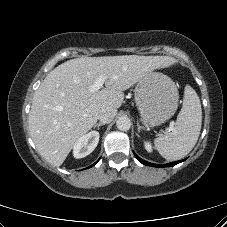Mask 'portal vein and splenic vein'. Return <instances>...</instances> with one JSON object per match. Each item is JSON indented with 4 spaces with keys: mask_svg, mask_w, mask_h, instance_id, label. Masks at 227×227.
I'll list each match as a JSON object with an SVG mask.
<instances>
[{
    "mask_svg": "<svg viewBox=\"0 0 227 227\" xmlns=\"http://www.w3.org/2000/svg\"><path fill=\"white\" fill-rule=\"evenodd\" d=\"M105 78L104 77H99L95 83L90 87L91 92L98 91L104 84ZM170 129H173V126L170 127Z\"/></svg>",
    "mask_w": 227,
    "mask_h": 227,
    "instance_id": "obj_1",
    "label": "portal vein and splenic vein"
}]
</instances>
